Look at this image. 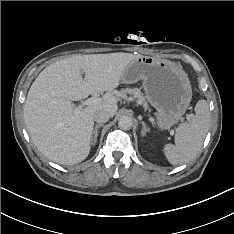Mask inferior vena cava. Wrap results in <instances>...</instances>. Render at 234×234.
<instances>
[{
	"label": "inferior vena cava",
	"mask_w": 234,
	"mask_h": 234,
	"mask_svg": "<svg viewBox=\"0 0 234 234\" xmlns=\"http://www.w3.org/2000/svg\"><path fill=\"white\" fill-rule=\"evenodd\" d=\"M110 117L111 114L104 109L97 110L94 113V120L98 123H105L109 120Z\"/></svg>",
	"instance_id": "602c4592"
}]
</instances>
